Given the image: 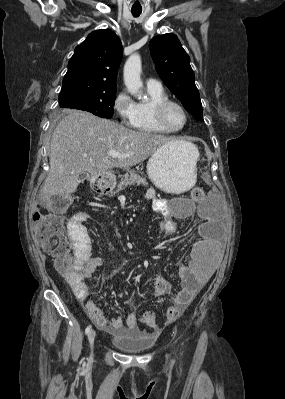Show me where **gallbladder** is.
I'll list each match as a JSON object with an SVG mask.
<instances>
[{
	"label": "gallbladder",
	"mask_w": 285,
	"mask_h": 399,
	"mask_svg": "<svg viewBox=\"0 0 285 399\" xmlns=\"http://www.w3.org/2000/svg\"><path fill=\"white\" fill-rule=\"evenodd\" d=\"M90 177L88 174L84 173L79 176V182L82 183L84 180H88Z\"/></svg>",
	"instance_id": "obj_1"
}]
</instances>
